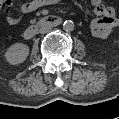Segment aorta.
Segmentation results:
<instances>
[{
  "label": "aorta",
  "instance_id": "1",
  "mask_svg": "<svg viewBox=\"0 0 119 119\" xmlns=\"http://www.w3.org/2000/svg\"><path fill=\"white\" fill-rule=\"evenodd\" d=\"M63 29L65 31H72L74 29V23L71 20H66L63 23Z\"/></svg>",
  "mask_w": 119,
  "mask_h": 119
}]
</instances>
